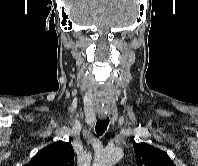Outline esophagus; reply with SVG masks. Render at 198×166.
<instances>
[{
	"label": "esophagus",
	"instance_id": "1",
	"mask_svg": "<svg viewBox=\"0 0 198 166\" xmlns=\"http://www.w3.org/2000/svg\"><path fill=\"white\" fill-rule=\"evenodd\" d=\"M106 115H102L103 118H105Z\"/></svg>",
	"mask_w": 198,
	"mask_h": 166
}]
</instances>
